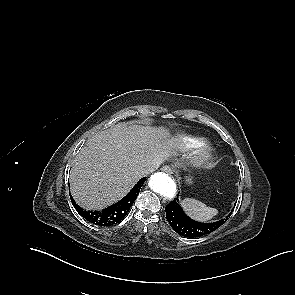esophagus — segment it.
Returning <instances> with one entry per match:
<instances>
[{"label":"esophagus","instance_id":"1","mask_svg":"<svg viewBox=\"0 0 295 295\" xmlns=\"http://www.w3.org/2000/svg\"><path fill=\"white\" fill-rule=\"evenodd\" d=\"M162 171L167 174H173V172H174L173 168H171L170 166H167V165L162 167Z\"/></svg>","mask_w":295,"mask_h":295}]
</instances>
